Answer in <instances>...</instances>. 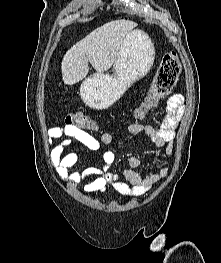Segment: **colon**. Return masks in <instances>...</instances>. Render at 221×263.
Listing matches in <instances>:
<instances>
[{"label":"colon","instance_id":"colon-1","mask_svg":"<svg viewBox=\"0 0 221 263\" xmlns=\"http://www.w3.org/2000/svg\"><path fill=\"white\" fill-rule=\"evenodd\" d=\"M180 70L181 66L177 54L175 52L165 53L146 97L135 112L137 117L146 114L162 98L170 94L177 82ZM66 125L79 130H96L95 122L81 111L69 113L66 116Z\"/></svg>","mask_w":221,"mask_h":263}]
</instances>
